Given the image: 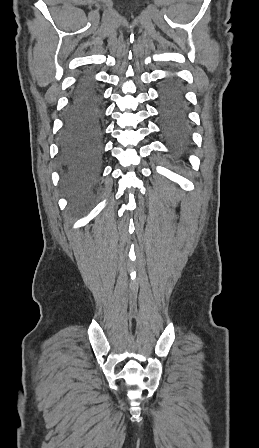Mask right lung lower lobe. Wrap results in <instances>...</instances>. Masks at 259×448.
Here are the masks:
<instances>
[{
  "label": "right lung lower lobe",
  "instance_id": "98d812e1",
  "mask_svg": "<svg viewBox=\"0 0 259 448\" xmlns=\"http://www.w3.org/2000/svg\"><path fill=\"white\" fill-rule=\"evenodd\" d=\"M99 82L82 74L72 91L59 136L58 163L65 183L93 184L103 160V99Z\"/></svg>",
  "mask_w": 259,
  "mask_h": 448
}]
</instances>
